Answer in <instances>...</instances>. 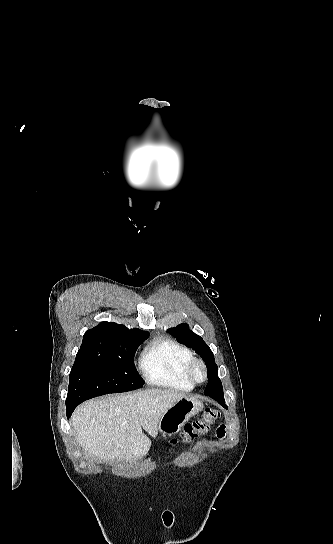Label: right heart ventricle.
Segmentation results:
<instances>
[{"mask_svg":"<svg viewBox=\"0 0 333 544\" xmlns=\"http://www.w3.org/2000/svg\"><path fill=\"white\" fill-rule=\"evenodd\" d=\"M192 358V352L183 344L173 339L157 338L150 341L143 350L139 367L150 385L190 391L193 385L186 380L184 368Z\"/></svg>","mask_w":333,"mask_h":544,"instance_id":"e07e8e85","label":"right heart ventricle"}]
</instances>
